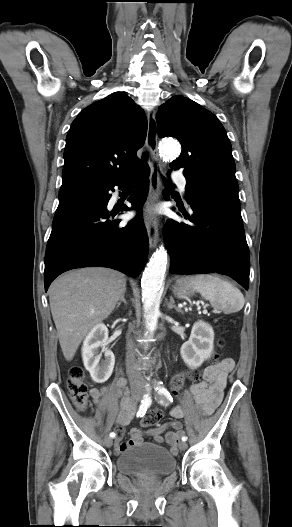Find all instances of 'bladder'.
Segmentation results:
<instances>
[{
  "label": "bladder",
  "instance_id": "1",
  "mask_svg": "<svg viewBox=\"0 0 292 527\" xmlns=\"http://www.w3.org/2000/svg\"><path fill=\"white\" fill-rule=\"evenodd\" d=\"M115 466L120 473L129 476L162 477L175 470L176 458L166 447L144 442L122 451Z\"/></svg>",
  "mask_w": 292,
  "mask_h": 527
}]
</instances>
